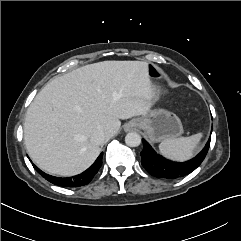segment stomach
Masks as SVG:
<instances>
[{
    "instance_id": "0dacf381",
    "label": "stomach",
    "mask_w": 241,
    "mask_h": 241,
    "mask_svg": "<svg viewBox=\"0 0 241 241\" xmlns=\"http://www.w3.org/2000/svg\"><path fill=\"white\" fill-rule=\"evenodd\" d=\"M139 129L145 131L148 138L153 142H161L166 139H175L183 133V126L179 117L165 109H154L133 119Z\"/></svg>"
}]
</instances>
